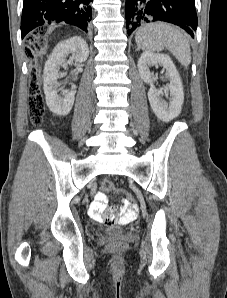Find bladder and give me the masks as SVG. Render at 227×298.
Here are the masks:
<instances>
[{
	"instance_id": "31cf9c89",
	"label": "bladder",
	"mask_w": 227,
	"mask_h": 298,
	"mask_svg": "<svg viewBox=\"0 0 227 298\" xmlns=\"http://www.w3.org/2000/svg\"><path fill=\"white\" fill-rule=\"evenodd\" d=\"M123 229L119 228V227H111L106 229L105 233L109 234V235H118L120 233H122Z\"/></svg>"
}]
</instances>
